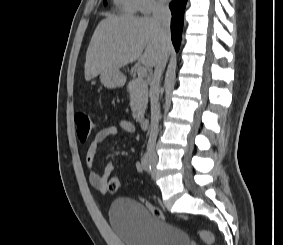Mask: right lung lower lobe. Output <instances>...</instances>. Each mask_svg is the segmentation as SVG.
<instances>
[{
	"mask_svg": "<svg viewBox=\"0 0 283 245\" xmlns=\"http://www.w3.org/2000/svg\"><path fill=\"white\" fill-rule=\"evenodd\" d=\"M187 0H173L169 7L172 13L171 20V34H172V42L175 47V50H179L182 27H183V16L185 11Z\"/></svg>",
	"mask_w": 283,
	"mask_h": 245,
	"instance_id": "obj_1",
	"label": "right lung lower lobe"
}]
</instances>
